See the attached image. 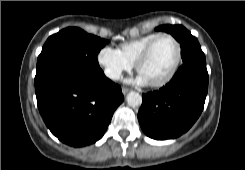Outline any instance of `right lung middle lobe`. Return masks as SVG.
I'll use <instances>...</instances> for the list:
<instances>
[{"mask_svg": "<svg viewBox=\"0 0 245 170\" xmlns=\"http://www.w3.org/2000/svg\"><path fill=\"white\" fill-rule=\"evenodd\" d=\"M107 43L76 27L50 36L37 60L35 84L64 68H99L97 55Z\"/></svg>", "mask_w": 245, "mask_h": 170, "instance_id": "right-lung-middle-lobe-1", "label": "right lung middle lobe"}]
</instances>
